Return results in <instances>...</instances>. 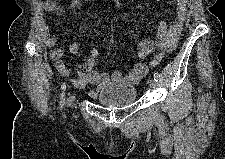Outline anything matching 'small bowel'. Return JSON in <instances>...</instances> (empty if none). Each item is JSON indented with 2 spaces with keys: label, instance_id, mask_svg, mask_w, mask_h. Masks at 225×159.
Returning <instances> with one entry per match:
<instances>
[{
  "label": "small bowel",
  "instance_id": "small-bowel-1",
  "mask_svg": "<svg viewBox=\"0 0 225 159\" xmlns=\"http://www.w3.org/2000/svg\"><path fill=\"white\" fill-rule=\"evenodd\" d=\"M70 9L77 11L81 7V0H72L69 5ZM40 9L44 12L62 14V8L56 1L45 0L40 3ZM187 1L179 0L177 7V15L170 27L166 21H161L154 41L140 40L136 35L135 58L138 60L132 66L127 74L120 71L112 73L101 72L95 68V64L99 61L102 52L97 48H91L90 57L86 58L81 65L72 67V65L63 60L65 50L62 48H54L50 57L55 62L58 72L66 77H70L72 83L77 88H85L88 85H94L95 88L90 91L91 97H96L97 93L105 86L113 82H122L129 85H135L146 75L148 69L142 60L154 53L156 50L173 51L179 41L182 23L187 13ZM40 36L45 46L54 47L57 37L50 32V28L44 17L39 19ZM81 43L74 41L69 45L68 51L73 56L80 54Z\"/></svg>",
  "mask_w": 225,
  "mask_h": 159
}]
</instances>
